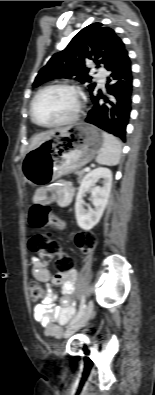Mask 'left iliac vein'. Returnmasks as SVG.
<instances>
[{
    "label": "left iliac vein",
    "mask_w": 155,
    "mask_h": 395,
    "mask_svg": "<svg viewBox=\"0 0 155 395\" xmlns=\"http://www.w3.org/2000/svg\"><path fill=\"white\" fill-rule=\"evenodd\" d=\"M93 308L94 304L93 301L90 300L84 310L83 315L73 324H71L65 331L64 337L68 338L72 334H74L76 331H78L80 328L85 326V324L88 322L90 319L92 313H93Z\"/></svg>",
    "instance_id": "1"
}]
</instances>
